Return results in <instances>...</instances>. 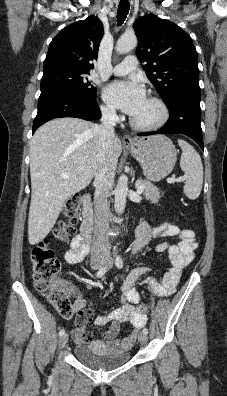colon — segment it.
<instances>
[{
  "label": "colon",
  "mask_w": 227,
  "mask_h": 396,
  "mask_svg": "<svg viewBox=\"0 0 227 396\" xmlns=\"http://www.w3.org/2000/svg\"><path fill=\"white\" fill-rule=\"evenodd\" d=\"M82 198L75 194L69 197L63 206V217L54 229L56 238L66 241L75 233L79 219ZM32 275L36 289L47 295L49 302L65 318L73 315L74 310L68 298L65 287L59 280L60 262L46 240L37 243L31 250ZM139 313H146L148 306L139 303L136 306Z\"/></svg>",
  "instance_id": "5ec220e1"
}]
</instances>
